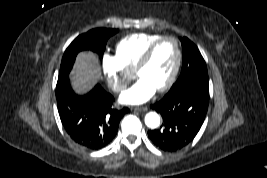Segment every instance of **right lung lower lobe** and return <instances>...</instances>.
<instances>
[{
	"instance_id": "right-lung-lower-lobe-1",
	"label": "right lung lower lobe",
	"mask_w": 267,
	"mask_h": 178,
	"mask_svg": "<svg viewBox=\"0 0 267 178\" xmlns=\"http://www.w3.org/2000/svg\"><path fill=\"white\" fill-rule=\"evenodd\" d=\"M56 99L61 122L79 146L99 150L115 137L119 122L128 108L112 107L114 97L100 85L86 95H77L70 86L68 75L58 77Z\"/></svg>"
}]
</instances>
